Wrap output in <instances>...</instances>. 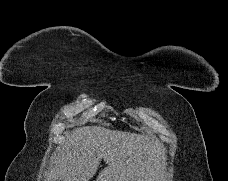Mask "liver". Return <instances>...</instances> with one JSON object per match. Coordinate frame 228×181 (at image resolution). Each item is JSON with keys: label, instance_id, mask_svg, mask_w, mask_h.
<instances>
[{"label": "liver", "instance_id": "6515ba94", "mask_svg": "<svg viewBox=\"0 0 228 181\" xmlns=\"http://www.w3.org/2000/svg\"><path fill=\"white\" fill-rule=\"evenodd\" d=\"M101 159L107 167L100 181H161L166 169L165 149L147 135L78 127L58 147L47 181H91Z\"/></svg>", "mask_w": 228, "mask_h": 181}]
</instances>
